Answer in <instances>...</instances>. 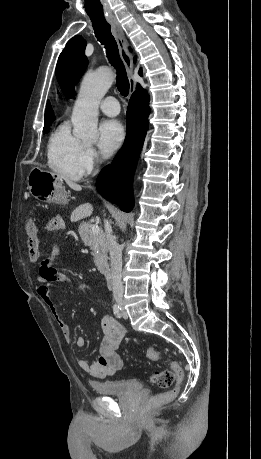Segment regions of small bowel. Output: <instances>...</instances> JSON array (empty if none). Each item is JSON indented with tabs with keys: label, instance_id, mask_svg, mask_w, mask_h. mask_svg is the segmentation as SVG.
I'll list each match as a JSON object with an SVG mask.
<instances>
[{
	"label": "small bowel",
	"instance_id": "c3829d8e",
	"mask_svg": "<svg viewBox=\"0 0 261 459\" xmlns=\"http://www.w3.org/2000/svg\"><path fill=\"white\" fill-rule=\"evenodd\" d=\"M65 224L59 217L49 219L44 230L51 232L58 229H63ZM55 258L50 256L41 262L39 267L37 292L43 301L51 309L59 329L68 344L75 343L78 347H84L86 341L83 337H78L75 341L71 335L69 326L63 321L58 313L57 307L54 304L50 294L49 286L53 282L71 283L72 279L64 273L57 271L54 266ZM101 329L103 337L99 346V357L95 361L80 359L79 367L94 378H105L114 374L122 366L121 358L118 354V348L124 335V327L110 315H105L101 321Z\"/></svg>",
	"mask_w": 261,
	"mask_h": 459
}]
</instances>
